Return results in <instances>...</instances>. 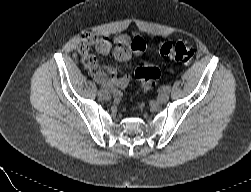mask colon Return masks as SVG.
I'll return each instance as SVG.
<instances>
[{"label": "colon", "mask_w": 251, "mask_h": 192, "mask_svg": "<svg viewBox=\"0 0 251 192\" xmlns=\"http://www.w3.org/2000/svg\"><path fill=\"white\" fill-rule=\"evenodd\" d=\"M159 53L183 63L191 62L195 56V50L184 42H162L159 45ZM135 77L141 82L142 88L148 91L155 86L160 71L154 64L142 62L135 70Z\"/></svg>", "instance_id": "5ec220e1"}]
</instances>
